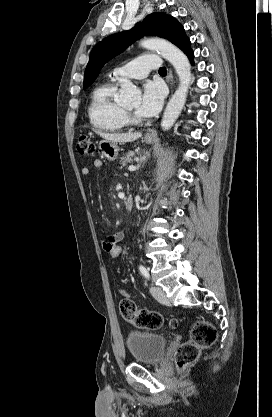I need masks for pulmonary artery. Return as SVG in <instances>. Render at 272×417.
I'll use <instances>...</instances> for the list:
<instances>
[{
  "mask_svg": "<svg viewBox=\"0 0 272 417\" xmlns=\"http://www.w3.org/2000/svg\"><path fill=\"white\" fill-rule=\"evenodd\" d=\"M160 67L161 59L158 55L145 54L114 69L112 77L115 80L143 79L151 70L159 69Z\"/></svg>",
  "mask_w": 272,
  "mask_h": 417,
  "instance_id": "e3ab8cb5",
  "label": "pulmonary artery"
}]
</instances>
